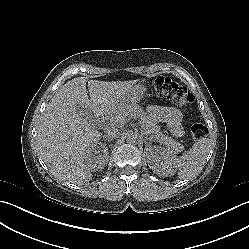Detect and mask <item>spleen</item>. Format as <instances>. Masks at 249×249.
Segmentation results:
<instances>
[{
  "instance_id": "obj_1",
  "label": "spleen",
  "mask_w": 249,
  "mask_h": 249,
  "mask_svg": "<svg viewBox=\"0 0 249 249\" xmlns=\"http://www.w3.org/2000/svg\"><path fill=\"white\" fill-rule=\"evenodd\" d=\"M209 150V140L203 138L194 143L192 148L184 152L180 157L172 152L166 154L164 161L168 166L178 167L179 170H186L187 172H194L202 168Z\"/></svg>"
}]
</instances>
